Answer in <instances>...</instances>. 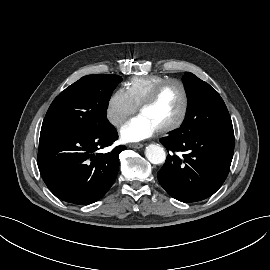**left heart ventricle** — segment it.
<instances>
[{"mask_svg": "<svg viewBox=\"0 0 270 270\" xmlns=\"http://www.w3.org/2000/svg\"><path fill=\"white\" fill-rule=\"evenodd\" d=\"M183 107V96L179 86H166L157 100L141 114L146 116L158 129L174 123L180 116Z\"/></svg>", "mask_w": 270, "mask_h": 270, "instance_id": "left-heart-ventricle-1", "label": "left heart ventricle"}]
</instances>
